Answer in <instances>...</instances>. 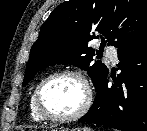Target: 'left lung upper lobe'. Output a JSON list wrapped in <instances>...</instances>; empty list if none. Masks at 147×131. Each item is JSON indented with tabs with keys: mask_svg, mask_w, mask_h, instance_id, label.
<instances>
[{
	"mask_svg": "<svg viewBox=\"0 0 147 131\" xmlns=\"http://www.w3.org/2000/svg\"><path fill=\"white\" fill-rule=\"evenodd\" d=\"M147 30V0H69L56 7L41 26L33 44L22 86L42 68L72 64L88 71L95 89L108 68L101 61L90 65L95 50L88 42L101 37V47L120 49ZM98 54V51L96 52Z\"/></svg>",
	"mask_w": 147,
	"mask_h": 131,
	"instance_id": "obj_1",
	"label": "left lung upper lobe"
}]
</instances>
